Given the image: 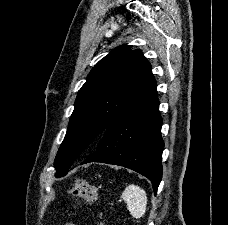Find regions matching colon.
Masks as SVG:
<instances>
[{"label":"colon","instance_id":"obj_1","mask_svg":"<svg viewBox=\"0 0 228 225\" xmlns=\"http://www.w3.org/2000/svg\"><path fill=\"white\" fill-rule=\"evenodd\" d=\"M69 193L75 198L81 199L86 203H92L97 198L96 186L88 180H76L70 187ZM98 225H103L102 221L97 222Z\"/></svg>","mask_w":228,"mask_h":225}]
</instances>
